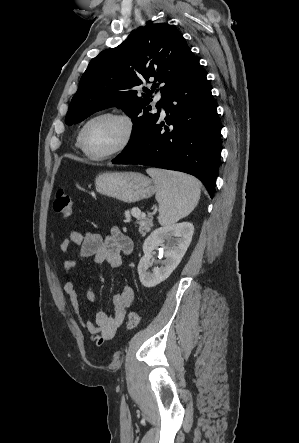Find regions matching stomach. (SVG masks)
<instances>
[{
  "label": "stomach",
  "mask_w": 299,
  "mask_h": 443,
  "mask_svg": "<svg viewBox=\"0 0 299 443\" xmlns=\"http://www.w3.org/2000/svg\"><path fill=\"white\" fill-rule=\"evenodd\" d=\"M96 190L127 203L151 197L157 190L155 182L138 172H105L95 179Z\"/></svg>",
  "instance_id": "stomach-1"
}]
</instances>
